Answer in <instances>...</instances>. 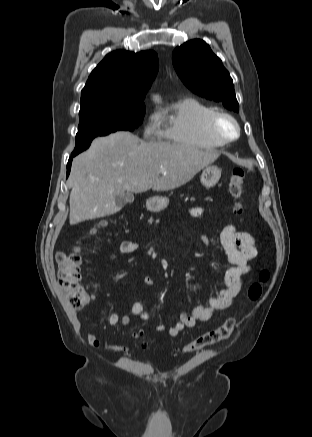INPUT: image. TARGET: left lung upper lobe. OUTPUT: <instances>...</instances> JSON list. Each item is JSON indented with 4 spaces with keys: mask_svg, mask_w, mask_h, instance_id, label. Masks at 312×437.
<instances>
[{
    "mask_svg": "<svg viewBox=\"0 0 312 437\" xmlns=\"http://www.w3.org/2000/svg\"><path fill=\"white\" fill-rule=\"evenodd\" d=\"M172 62L183 83L194 93L239 111L233 80L209 45L194 39L173 51Z\"/></svg>",
    "mask_w": 312,
    "mask_h": 437,
    "instance_id": "5c2ea615",
    "label": "left lung upper lobe"
}]
</instances>
